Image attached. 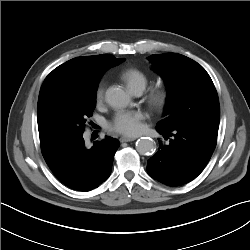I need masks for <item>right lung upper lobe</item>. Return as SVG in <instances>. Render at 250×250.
Instances as JSON below:
<instances>
[{
	"label": "right lung upper lobe",
	"instance_id": "right-lung-upper-lobe-1",
	"mask_svg": "<svg viewBox=\"0 0 250 250\" xmlns=\"http://www.w3.org/2000/svg\"><path fill=\"white\" fill-rule=\"evenodd\" d=\"M124 60V59H123ZM111 54L73 58L55 68L44 80L38 98V129L44 118L69 93L98 85L104 72L120 63Z\"/></svg>",
	"mask_w": 250,
	"mask_h": 250
}]
</instances>
